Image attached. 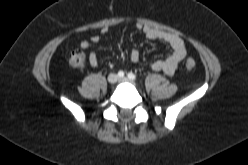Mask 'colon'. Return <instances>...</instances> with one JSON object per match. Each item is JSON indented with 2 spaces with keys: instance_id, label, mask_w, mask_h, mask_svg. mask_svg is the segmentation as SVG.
I'll list each match as a JSON object with an SVG mask.
<instances>
[{
  "instance_id": "colon-1",
  "label": "colon",
  "mask_w": 248,
  "mask_h": 165,
  "mask_svg": "<svg viewBox=\"0 0 248 165\" xmlns=\"http://www.w3.org/2000/svg\"><path fill=\"white\" fill-rule=\"evenodd\" d=\"M86 55L82 50L76 49L72 51L69 63L72 67L81 69L86 65ZM185 67L187 70H193L196 67V63L193 59H187L185 62Z\"/></svg>"
}]
</instances>
